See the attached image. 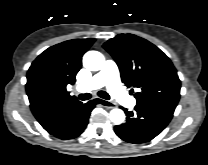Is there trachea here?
Wrapping results in <instances>:
<instances>
[{
    "instance_id": "1",
    "label": "trachea",
    "mask_w": 208,
    "mask_h": 165,
    "mask_svg": "<svg viewBox=\"0 0 208 165\" xmlns=\"http://www.w3.org/2000/svg\"><path fill=\"white\" fill-rule=\"evenodd\" d=\"M98 95L103 99H106V100L110 99V96L105 91H99ZM90 97H91L90 93H85V94H80L79 95V99L82 100V101L88 100V99H90Z\"/></svg>"
}]
</instances>
